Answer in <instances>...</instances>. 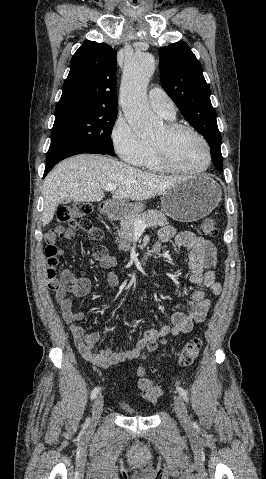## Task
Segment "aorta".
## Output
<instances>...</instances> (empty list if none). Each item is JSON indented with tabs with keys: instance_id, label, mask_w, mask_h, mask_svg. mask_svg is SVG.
Wrapping results in <instances>:
<instances>
[{
	"instance_id": "obj_1",
	"label": "aorta",
	"mask_w": 266,
	"mask_h": 479,
	"mask_svg": "<svg viewBox=\"0 0 266 479\" xmlns=\"http://www.w3.org/2000/svg\"><path fill=\"white\" fill-rule=\"evenodd\" d=\"M154 68V57L149 53L136 54L124 67L120 102L126 120L138 135H149L162 124L150 110L146 97L147 85Z\"/></svg>"
}]
</instances>
